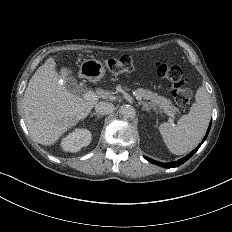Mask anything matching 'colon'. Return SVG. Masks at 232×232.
<instances>
[{
	"mask_svg": "<svg viewBox=\"0 0 232 232\" xmlns=\"http://www.w3.org/2000/svg\"><path fill=\"white\" fill-rule=\"evenodd\" d=\"M107 70L111 73H133L132 59L128 55L106 56ZM154 74L158 78H165L167 82L173 83V102L175 111L186 112L190 108V97L195 90L191 86L187 75L183 74V68L179 64H171L168 67L163 62H158L154 66Z\"/></svg>",
	"mask_w": 232,
	"mask_h": 232,
	"instance_id": "obj_1",
	"label": "colon"
}]
</instances>
